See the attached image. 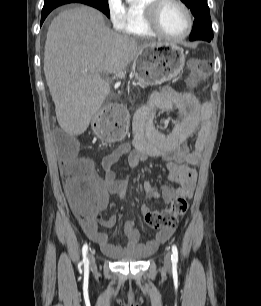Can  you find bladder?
<instances>
[{
	"label": "bladder",
	"instance_id": "31cf9c89",
	"mask_svg": "<svg viewBox=\"0 0 261 306\" xmlns=\"http://www.w3.org/2000/svg\"><path fill=\"white\" fill-rule=\"evenodd\" d=\"M146 255L144 254H124L117 257V261L119 262H141L145 260Z\"/></svg>",
	"mask_w": 261,
	"mask_h": 306
}]
</instances>
